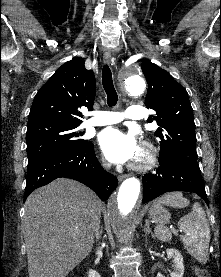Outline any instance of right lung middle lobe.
<instances>
[{
  "mask_svg": "<svg viewBox=\"0 0 221 277\" xmlns=\"http://www.w3.org/2000/svg\"><path fill=\"white\" fill-rule=\"evenodd\" d=\"M79 124L47 123L27 128L28 166L37 161L59 156L88 143L76 131Z\"/></svg>",
  "mask_w": 221,
  "mask_h": 277,
  "instance_id": "obj_1",
  "label": "right lung middle lobe"
}]
</instances>
